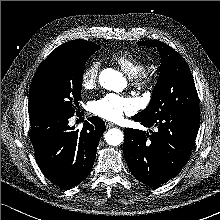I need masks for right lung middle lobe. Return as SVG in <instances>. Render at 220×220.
Instances as JSON below:
<instances>
[{
	"label": "right lung middle lobe",
	"mask_w": 220,
	"mask_h": 220,
	"mask_svg": "<svg viewBox=\"0 0 220 220\" xmlns=\"http://www.w3.org/2000/svg\"><path fill=\"white\" fill-rule=\"evenodd\" d=\"M99 49L81 42L55 49L39 66L30 90L29 115H73L81 100L82 78L87 59Z\"/></svg>",
	"instance_id": "right-lung-middle-lobe-1"
}]
</instances>
